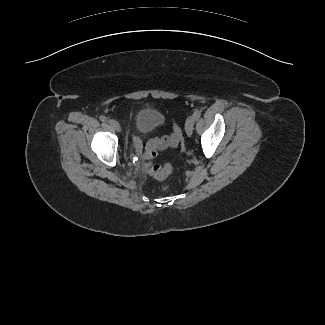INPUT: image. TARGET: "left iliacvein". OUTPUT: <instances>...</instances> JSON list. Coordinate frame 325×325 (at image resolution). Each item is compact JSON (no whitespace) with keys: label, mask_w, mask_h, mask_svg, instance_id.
I'll return each mask as SVG.
<instances>
[{"label":"left iliac vein","mask_w":325,"mask_h":325,"mask_svg":"<svg viewBox=\"0 0 325 325\" xmlns=\"http://www.w3.org/2000/svg\"><path fill=\"white\" fill-rule=\"evenodd\" d=\"M194 117L193 116H189L186 120V123H185V130H186V133L189 137L192 136L193 134V129H194Z\"/></svg>","instance_id":"obj_1"}]
</instances>
